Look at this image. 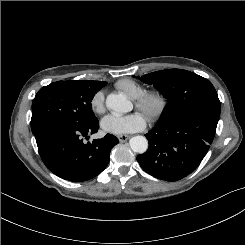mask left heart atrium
I'll use <instances>...</instances> for the list:
<instances>
[{
    "instance_id": "39dd6f15",
    "label": "left heart atrium",
    "mask_w": 245,
    "mask_h": 245,
    "mask_svg": "<svg viewBox=\"0 0 245 245\" xmlns=\"http://www.w3.org/2000/svg\"><path fill=\"white\" fill-rule=\"evenodd\" d=\"M145 118L141 113L134 112L124 116L107 115L101 121L104 132L114 135H123L140 131L145 127Z\"/></svg>"
}]
</instances>
